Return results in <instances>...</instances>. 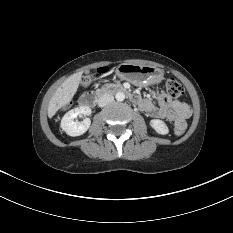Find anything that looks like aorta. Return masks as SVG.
Wrapping results in <instances>:
<instances>
[{"instance_id": "aorta-1", "label": "aorta", "mask_w": 233, "mask_h": 233, "mask_svg": "<svg viewBox=\"0 0 233 233\" xmlns=\"http://www.w3.org/2000/svg\"><path fill=\"white\" fill-rule=\"evenodd\" d=\"M117 101H123L125 99V94L123 92H118L115 95Z\"/></svg>"}]
</instances>
